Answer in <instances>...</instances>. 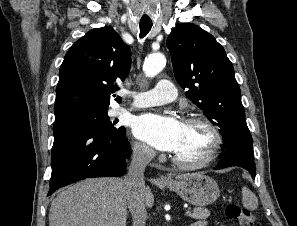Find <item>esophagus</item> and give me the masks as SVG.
<instances>
[{"label":"esophagus","mask_w":297,"mask_h":226,"mask_svg":"<svg viewBox=\"0 0 297 226\" xmlns=\"http://www.w3.org/2000/svg\"><path fill=\"white\" fill-rule=\"evenodd\" d=\"M159 180L160 181H168L169 179L166 176L161 175V176H159Z\"/></svg>","instance_id":"obj_1"}]
</instances>
